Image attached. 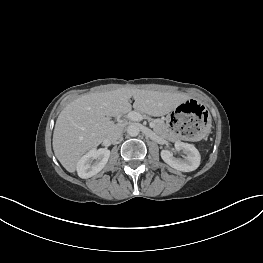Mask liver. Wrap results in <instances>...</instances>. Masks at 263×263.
<instances>
[{"label":"liver","instance_id":"obj_1","mask_svg":"<svg viewBox=\"0 0 263 263\" xmlns=\"http://www.w3.org/2000/svg\"><path fill=\"white\" fill-rule=\"evenodd\" d=\"M130 98L134 109L151 116H163L189 99L183 93L132 88L81 95L60 112L53 133L55 156L68 172H75L79 159L108 137L116 126L109 116L131 110Z\"/></svg>","mask_w":263,"mask_h":263}]
</instances>
